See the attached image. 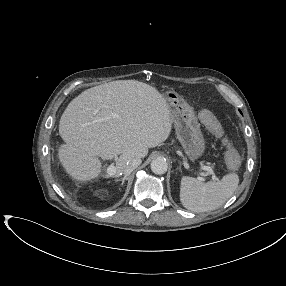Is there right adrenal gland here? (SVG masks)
I'll list each match as a JSON object with an SVG mask.
<instances>
[{
	"mask_svg": "<svg viewBox=\"0 0 286 286\" xmlns=\"http://www.w3.org/2000/svg\"><path fill=\"white\" fill-rule=\"evenodd\" d=\"M128 179V177L127 176H124L123 178H122V185L124 184V182H125V180H127Z\"/></svg>",
	"mask_w": 286,
	"mask_h": 286,
	"instance_id": "1",
	"label": "right adrenal gland"
}]
</instances>
